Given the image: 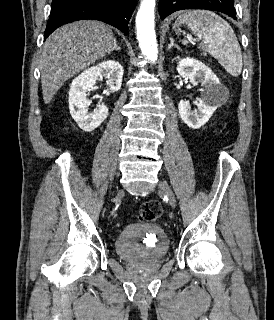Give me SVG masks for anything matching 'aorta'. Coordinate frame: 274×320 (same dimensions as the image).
I'll use <instances>...</instances> for the list:
<instances>
[{
	"mask_svg": "<svg viewBox=\"0 0 274 320\" xmlns=\"http://www.w3.org/2000/svg\"><path fill=\"white\" fill-rule=\"evenodd\" d=\"M156 0H142L136 15L137 40L142 54L152 62L158 58L157 40L154 30Z\"/></svg>",
	"mask_w": 274,
	"mask_h": 320,
	"instance_id": "aorta-1",
	"label": "aorta"
}]
</instances>
